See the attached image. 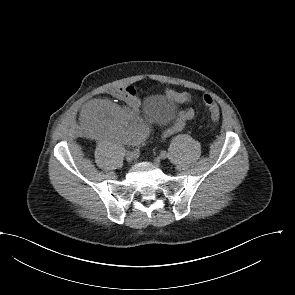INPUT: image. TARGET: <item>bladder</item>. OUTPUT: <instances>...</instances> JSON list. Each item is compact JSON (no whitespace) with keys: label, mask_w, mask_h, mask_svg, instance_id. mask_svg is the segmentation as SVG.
Returning <instances> with one entry per match:
<instances>
[{"label":"bladder","mask_w":295,"mask_h":295,"mask_svg":"<svg viewBox=\"0 0 295 295\" xmlns=\"http://www.w3.org/2000/svg\"><path fill=\"white\" fill-rule=\"evenodd\" d=\"M146 115L152 117L157 123L168 124L177 114L176 105L162 97H149L143 106Z\"/></svg>","instance_id":"bladder-1"}]
</instances>
